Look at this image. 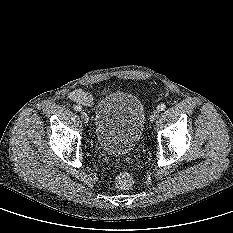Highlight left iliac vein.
<instances>
[{
    "label": "left iliac vein",
    "mask_w": 233,
    "mask_h": 233,
    "mask_svg": "<svg viewBox=\"0 0 233 233\" xmlns=\"http://www.w3.org/2000/svg\"><path fill=\"white\" fill-rule=\"evenodd\" d=\"M158 115H159V111L158 110H154L152 113H151V115H150V121H154V120H156V118L158 117Z\"/></svg>",
    "instance_id": "left-iliac-vein-1"
}]
</instances>
